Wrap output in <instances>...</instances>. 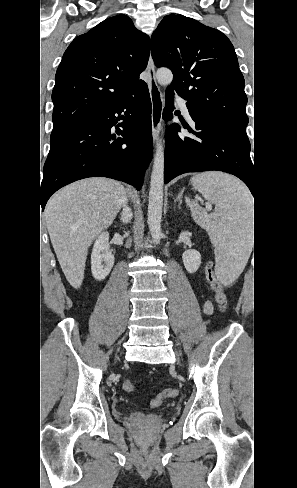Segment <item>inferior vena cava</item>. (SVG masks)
Segmentation results:
<instances>
[{
	"mask_svg": "<svg viewBox=\"0 0 297 488\" xmlns=\"http://www.w3.org/2000/svg\"><path fill=\"white\" fill-rule=\"evenodd\" d=\"M126 202H127V199L125 198V201H124V204H123V211H122V215H121V220L123 222H129L132 218V212L130 210V208H128L126 206Z\"/></svg>",
	"mask_w": 297,
	"mask_h": 488,
	"instance_id": "obj_1",
	"label": "inferior vena cava"
}]
</instances>
